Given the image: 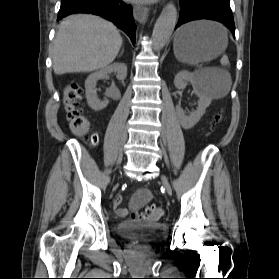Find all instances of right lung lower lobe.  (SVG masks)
Here are the masks:
<instances>
[{
	"label": "right lung lower lobe",
	"instance_id": "obj_1",
	"mask_svg": "<svg viewBox=\"0 0 279 279\" xmlns=\"http://www.w3.org/2000/svg\"><path fill=\"white\" fill-rule=\"evenodd\" d=\"M73 13H92L112 21L135 44L136 26L131 5L122 0H61L57 20Z\"/></svg>",
	"mask_w": 279,
	"mask_h": 279
}]
</instances>
